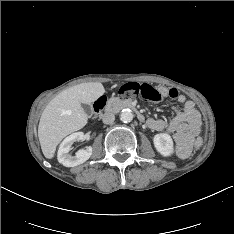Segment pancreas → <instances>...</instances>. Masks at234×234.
I'll list each match as a JSON object with an SVG mask.
<instances>
[{"mask_svg":"<svg viewBox=\"0 0 234 234\" xmlns=\"http://www.w3.org/2000/svg\"><path fill=\"white\" fill-rule=\"evenodd\" d=\"M116 104V101L114 99L110 100L108 102V105H107V109H111L112 107H114Z\"/></svg>","mask_w":234,"mask_h":234,"instance_id":"obj_1","label":"pancreas"}]
</instances>
